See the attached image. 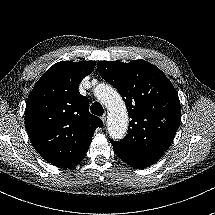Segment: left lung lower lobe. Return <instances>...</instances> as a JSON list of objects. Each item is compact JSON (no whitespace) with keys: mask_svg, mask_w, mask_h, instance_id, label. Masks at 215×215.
I'll return each mask as SVG.
<instances>
[{"mask_svg":"<svg viewBox=\"0 0 215 215\" xmlns=\"http://www.w3.org/2000/svg\"><path fill=\"white\" fill-rule=\"evenodd\" d=\"M115 154L125 163L133 168L140 169L148 167L158 161L164 153L156 154H135L120 150L118 147L113 145Z\"/></svg>","mask_w":215,"mask_h":215,"instance_id":"1","label":"left lung lower lobe"}]
</instances>
